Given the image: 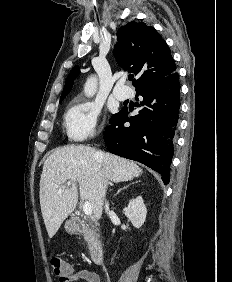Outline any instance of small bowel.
<instances>
[{"label":"small bowel","instance_id":"1","mask_svg":"<svg viewBox=\"0 0 232 282\" xmlns=\"http://www.w3.org/2000/svg\"><path fill=\"white\" fill-rule=\"evenodd\" d=\"M67 282H101L97 273L90 270L69 271Z\"/></svg>","mask_w":232,"mask_h":282}]
</instances>
